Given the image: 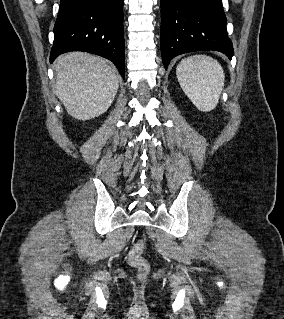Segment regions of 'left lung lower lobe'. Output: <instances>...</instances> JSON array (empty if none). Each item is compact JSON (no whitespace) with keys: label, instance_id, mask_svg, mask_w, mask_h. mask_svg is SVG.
<instances>
[{"label":"left lung lower lobe","instance_id":"0a47b994","mask_svg":"<svg viewBox=\"0 0 284 319\" xmlns=\"http://www.w3.org/2000/svg\"><path fill=\"white\" fill-rule=\"evenodd\" d=\"M160 2V45L165 69L173 57L198 50H215L232 58L233 46L227 35L221 0Z\"/></svg>","mask_w":284,"mask_h":319}]
</instances>
